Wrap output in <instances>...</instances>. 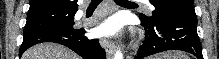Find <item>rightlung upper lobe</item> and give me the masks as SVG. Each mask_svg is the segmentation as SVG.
I'll use <instances>...</instances> for the list:
<instances>
[{
	"label": "right lung upper lobe",
	"mask_w": 219,
	"mask_h": 59,
	"mask_svg": "<svg viewBox=\"0 0 219 59\" xmlns=\"http://www.w3.org/2000/svg\"><path fill=\"white\" fill-rule=\"evenodd\" d=\"M28 12L42 11L47 9H61L68 11H77V0H30Z\"/></svg>",
	"instance_id": "1"
}]
</instances>
